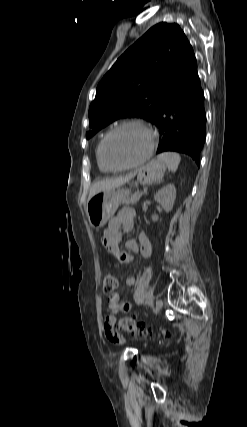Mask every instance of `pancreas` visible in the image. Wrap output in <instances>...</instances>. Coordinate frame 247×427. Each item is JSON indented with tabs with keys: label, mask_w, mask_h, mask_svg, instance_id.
I'll use <instances>...</instances> for the list:
<instances>
[{
	"label": "pancreas",
	"mask_w": 247,
	"mask_h": 427,
	"mask_svg": "<svg viewBox=\"0 0 247 427\" xmlns=\"http://www.w3.org/2000/svg\"><path fill=\"white\" fill-rule=\"evenodd\" d=\"M141 196H142V193L135 192L133 195H131L130 197L123 200V203H125V204H136L139 201V199L141 198Z\"/></svg>",
	"instance_id": "obj_1"
}]
</instances>
